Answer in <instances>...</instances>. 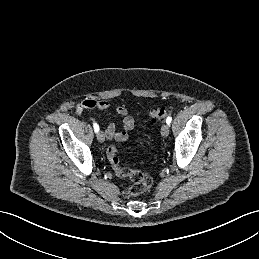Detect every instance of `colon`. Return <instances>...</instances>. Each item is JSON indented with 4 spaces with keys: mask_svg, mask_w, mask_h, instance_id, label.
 <instances>
[{
    "mask_svg": "<svg viewBox=\"0 0 259 259\" xmlns=\"http://www.w3.org/2000/svg\"><path fill=\"white\" fill-rule=\"evenodd\" d=\"M169 110L165 107H157L150 111L149 116L153 122H159L165 119ZM107 159L119 177H127L131 180L132 185L124 192L126 196H137L149 190L152 179L149 175L134 169L125 168L120 165L118 150L115 146L107 148Z\"/></svg>",
    "mask_w": 259,
    "mask_h": 259,
    "instance_id": "5ec220e1",
    "label": "colon"
}]
</instances>
